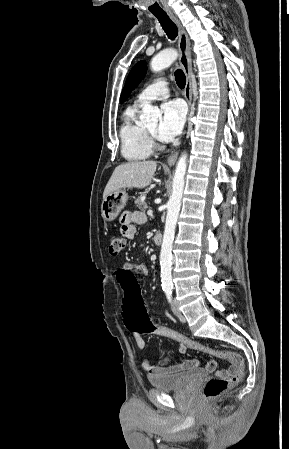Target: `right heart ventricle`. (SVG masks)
<instances>
[{"instance_id": "e07e8e85", "label": "right heart ventricle", "mask_w": 289, "mask_h": 449, "mask_svg": "<svg viewBox=\"0 0 289 449\" xmlns=\"http://www.w3.org/2000/svg\"><path fill=\"white\" fill-rule=\"evenodd\" d=\"M138 106H130L124 113L120 127L121 152L130 161L147 159L152 146L146 128L137 120Z\"/></svg>"}]
</instances>
